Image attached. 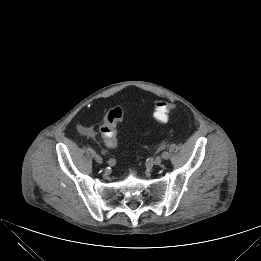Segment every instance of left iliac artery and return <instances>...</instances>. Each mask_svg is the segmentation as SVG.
<instances>
[{"mask_svg": "<svg viewBox=\"0 0 261 261\" xmlns=\"http://www.w3.org/2000/svg\"><path fill=\"white\" fill-rule=\"evenodd\" d=\"M161 156L163 159L167 160V159H169L170 154L168 151L164 150V151H162Z\"/></svg>", "mask_w": 261, "mask_h": 261, "instance_id": "obj_1", "label": "left iliac artery"}]
</instances>
